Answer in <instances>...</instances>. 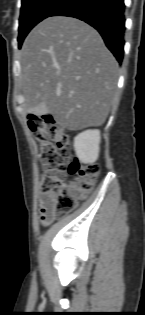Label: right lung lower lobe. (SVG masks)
Here are the masks:
<instances>
[{"instance_id":"98d812e1","label":"right lung lower lobe","mask_w":145,"mask_h":315,"mask_svg":"<svg viewBox=\"0 0 145 315\" xmlns=\"http://www.w3.org/2000/svg\"><path fill=\"white\" fill-rule=\"evenodd\" d=\"M124 0H65L50 16L78 18L101 34L119 63L124 55Z\"/></svg>"}]
</instances>
